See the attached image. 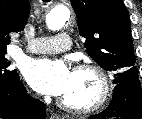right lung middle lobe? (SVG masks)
Returning a JSON list of instances; mask_svg holds the SVG:
<instances>
[{"label":"right lung middle lobe","mask_w":142,"mask_h":119,"mask_svg":"<svg viewBox=\"0 0 142 119\" xmlns=\"http://www.w3.org/2000/svg\"><path fill=\"white\" fill-rule=\"evenodd\" d=\"M7 50L0 51V84H6L18 76L16 70H10V62L5 58Z\"/></svg>","instance_id":"1"}]
</instances>
